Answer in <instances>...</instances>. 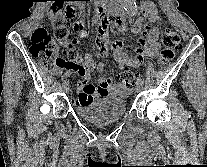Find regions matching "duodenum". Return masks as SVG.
Masks as SVG:
<instances>
[{"label":"duodenum","instance_id":"410a0bca","mask_svg":"<svg viewBox=\"0 0 207 167\" xmlns=\"http://www.w3.org/2000/svg\"><path fill=\"white\" fill-rule=\"evenodd\" d=\"M95 12L104 17L103 22H109L110 20L118 21L119 25H116L117 28L121 27L122 22L124 23V14L116 7L113 0H96Z\"/></svg>","mask_w":207,"mask_h":167}]
</instances>
